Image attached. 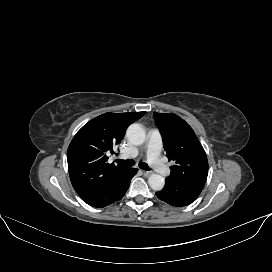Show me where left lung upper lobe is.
I'll use <instances>...</instances> for the list:
<instances>
[{
	"label": "left lung upper lobe",
	"instance_id": "left-lung-upper-lobe-1",
	"mask_svg": "<svg viewBox=\"0 0 272 272\" xmlns=\"http://www.w3.org/2000/svg\"><path fill=\"white\" fill-rule=\"evenodd\" d=\"M154 118L163 138L164 150L169 160V183H203L208 175L206 153L192 128L175 114L154 112Z\"/></svg>",
	"mask_w": 272,
	"mask_h": 272
}]
</instances>
